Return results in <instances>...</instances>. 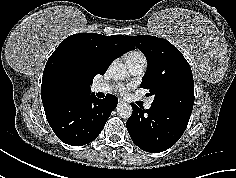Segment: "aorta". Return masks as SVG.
<instances>
[{
    "label": "aorta",
    "instance_id": "aorta-1",
    "mask_svg": "<svg viewBox=\"0 0 236 178\" xmlns=\"http://www.w3.org/2000/svg\"><path fill=\"white\" fill-rule=\"evenodd\" d=\"M110 74L114 80H122L127 76V71L123 64L114 63L110 66ZM117 114L121 118H129L132 115V107L127 103H120L117 105Z\"/></svg>",
    "mask_w": 236,
    "mask_h": 178
}]
</instances>
